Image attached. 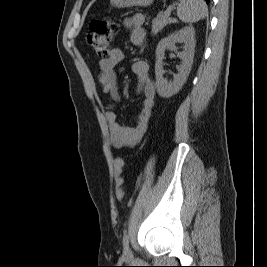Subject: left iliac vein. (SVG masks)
<instances>
[{
  "instance_id": "obj_1",
  "label": "left iliac vein",
  "mask_w": 267,
  "mask_h": 267,
  "mask_svg": "<svg viewBox=\"0 0 267 267\" xmlns=\"http://www.w3.org/2000/svg\"><path fill=\"white\" fill-rule=\"evenodd\" d=\"M123 253L126 257L130 258L132 256L131 249L129 248V245H124Z\"/></svg>"
}]
</instances>
